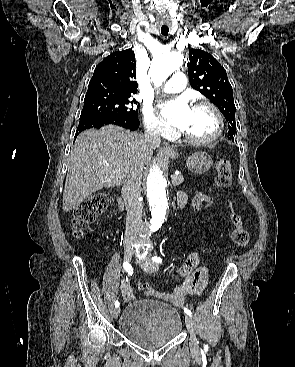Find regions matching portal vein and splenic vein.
<instances>
[{
  "mask_svg": "<svg viewBox=\"0 0 295 367\" xmlns=\"http://www.w3.org/2000/svg\"><path fill=\"white\" fill-rule=\"evenodd\" d=\"M113 174L117 175V177L122 178L123 175L120 173V170L111 171ZM171 178H175V175H172Z\"/></svg>",
  "mask_w": 295,
  "mask_h": 367,
  "instance_id": "1",
  "label": "portal vein and splenic vein"
}]
</instances>
